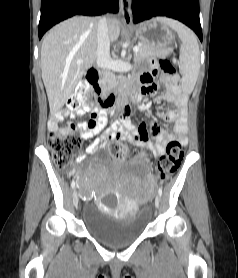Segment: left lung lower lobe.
<instances>
[{
	"instance_id": "left-lung-lower-lobe-1",
	"label": "left lung lower lobe",
	"mask_w": 238,
	"mask_h": 278,
	"mask_svg": "<svg viewBox=\"0 0 238 278\" xmlns=\"http://www.w3.org/2000/svg\"><path fill=\"white\" fill-rule=\"evenodd\" d=\"M132 13L134 23L156 16L174 18L194 30L202 41L199 0H133Z\"/></svg>"
}]
</instances>
